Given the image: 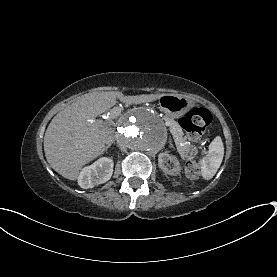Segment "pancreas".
<instances>
[{
  "mask_svg": "<svg viewBox=\"0 0 277 277\" xmlns=\"http://www.w3.org/2000/svg\"><path fill=\"white\" fill-rule=\"evenodd\" d=\"M171 133L174 140V147L176 149H182V155L185 158L190 157L191 155V149L188 146H185L187 143V140L185 138V134L183 132V126L181 124H173L171 126Z\"/></svg>",
  "mask_w": 277,
  "mask_h": 277,
  "instance_id": "cf45deb5",
  "label": "pancreas"
}]
</instances>
